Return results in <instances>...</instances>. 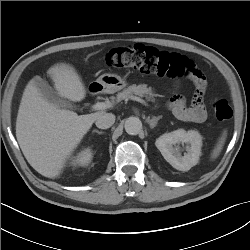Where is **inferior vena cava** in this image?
<instances>
[{"mask_svg":"<svg viewBox=\"0 0 250 250\" xmlns=\"http://www.w3.org/2000/svg\"><path fill=\"white\" fill-rule=\"evenodd\" d=\"M115 122V115L112 113H104L97 117L96 126L99 129H107L110 128Z\"/></svg>","mask_w":250,"mask_h":250,"instance_id":"obj_1","label":"inferior vena cava"}]
</instances>
